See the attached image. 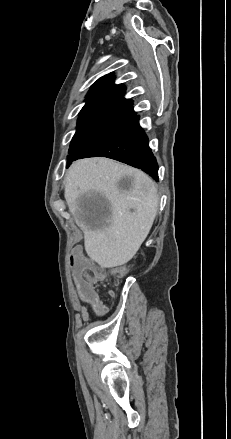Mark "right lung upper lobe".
Here are the masks:
<instances>
[{
    "label": "right lung upper lobe",
    "instance_id": "right-lung-upper-lobe-1",
    "mask_svg": "<svg viewBox=\"0 0 231 439\" xmlns=\"http://www.w3.org/2000/svg\"><path fill=\"white\" fill-rule=\"evenodd\" d=\"M111 73L98 79L86 96V104L79 113L80 117H109L126 121L136 113L131 100L124 98L126 87L114 84Z\"/></svg>",
    "mask_w": 231,
    "mask_h": 439
}]
</instances>
